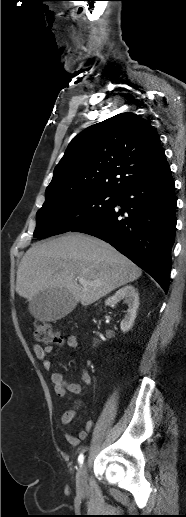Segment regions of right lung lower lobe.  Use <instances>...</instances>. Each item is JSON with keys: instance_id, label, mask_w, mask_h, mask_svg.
<instances>
[{"instance_id": "1", "label": "right lung lower lobe", "mask_w": 186, "mask_h": 517, "mask_svg": "<svg viewBox=\"0 0 186 517\" xmlns=\"http://www.w3.org/2000/svg\"><path fill=\"white\" fill-rule=\"evenodd\" d=\"M174 186L167 167L161 174L118 194L110 210L72 231L108 242L167 292L177 221ZM117 205L122 208L116 209Z\"/></svg>"}]
</instances>
